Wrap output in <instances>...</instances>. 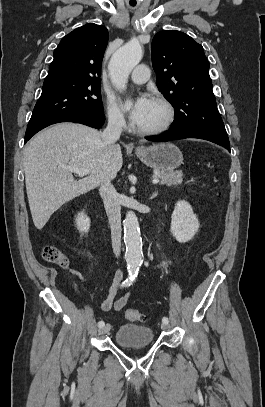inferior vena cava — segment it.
Returning <instances> with one entry per match:
<instances>
[{"label": "inferior vena cava", "instance_id": "1", "mask_svg": "<svg viewBox=\"0 0 265 407\" xmlns=\"http://www.w3.org/2000/svg\"><path fill=\"white\" fill-rule=\"evenodd\" d=\"M124 123V119L120 114L112 113L108 115V125L101 134L107 145L114 144L120 138ZM99 193L103 199L110 223L113 252L118 257L121 248V212L118 193L109 177L101 180Z\"/></svg>", "mask_w": 265, "mask_h": 407}]
</instances>
